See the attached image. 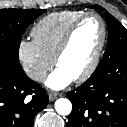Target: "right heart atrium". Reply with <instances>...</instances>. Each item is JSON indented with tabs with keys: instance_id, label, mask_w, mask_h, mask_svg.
<instances>
[{
	"instance_id": "obj_1",
	"label": "right heart atrium",
	"mask_w": 127,
	"mask_h": 127,
	"mask_svg": "<svg viewBox=\"0 0 127 127\" xmlns=\"http://www.w3.org/2000/svg\"><path fill=\"white\" fill-rule=\"evenodd\" d=\"M17 52L25 73L35 82H41L53 66V59L45 55L34 40L21 39Z\"/></svg>"
}]
</instances>
